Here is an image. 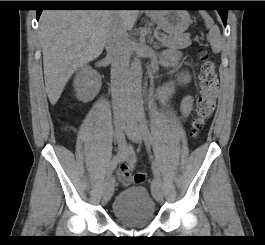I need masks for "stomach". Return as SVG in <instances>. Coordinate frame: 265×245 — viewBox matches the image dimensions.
Returning a JSON list of instances; mask_svg holds the SVG:
<instances>
[{
	"mask_svg": "<svg viewBox=\"0 0 265 245\" xmlns=\"http://www.w3.org/2000/svg\"><path fill=\"white\" fill-rule=\"evenodd\" d=\"M152 20L171 36L182 35L191 23L186 10H157L150 14Z\"/></svg>",
	"mask_w": 265,
	"mask_h": 245,
	"instance_id": "obj_1",
	"label": "stomach"
}]
</instances>
